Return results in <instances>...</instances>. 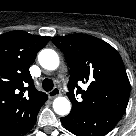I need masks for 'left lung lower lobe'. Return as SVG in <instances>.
Returning <instances> with one entry per match:
<instances>
[{"instance_id": "0a47b994", "label": "left lung lower lobe", "mask_w": 136, "mask_h": 136, "mask_svg": "<svg viewBox=\"0 0 136 136\" xmlns=\"http://www.w3.org/2000/svg\"><path fill=\"white\" fill-rule=\"evenodd\" d=\"M119 120L117 116L84 111H71L68 116L61 118L63 126L77 136H103Z\"/></svg>"}]
</instances>
